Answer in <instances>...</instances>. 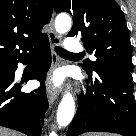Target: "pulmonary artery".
Segmentation results:
<instances>
[{"label": "pulmonary artery", "instance_id": "obj_1", "mask_svg": "<svg viewBox=\"0 0 136 136\" xmlns=\"http://www.w3.org/2000/svg\"><path fill=\"white\" fill-rule=\"evenodd\" d=\"M65 48L69 52H81L83 50L82 45L75 38H68L65 43Z\"/></svg>", "mask_w": 136, "mask_h": 136}]
</instances>
